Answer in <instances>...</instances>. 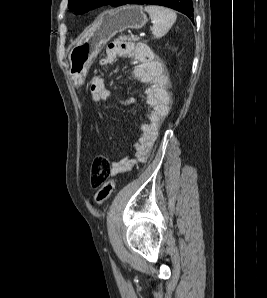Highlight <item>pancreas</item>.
I'll use <instances>...</instances> for the list:
<instances>
[{
  "mask_svg": "<svg viewBox=\"0 0 267 298\" xmlns=\"http://www.w3.org/2000/svg\"><path fill=\"white\" fill-rule=\"evenodd\" d=\"M124 39H127L129 41H137L138 40V38L134 37V36H127V37H124Z\"/></svg>",
  "mask_w": 267,
  "mask_h": 298,
  "instance_id": "obj_1",
  "label": "pancreas"
}]
</instances>
